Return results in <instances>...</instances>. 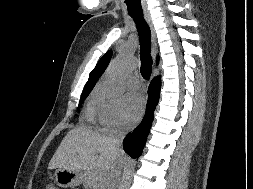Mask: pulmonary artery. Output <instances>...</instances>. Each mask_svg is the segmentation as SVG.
Wrapping results in <instances>:
<instances>
[{"mask_svg": "<svg viewBox=\"0 0 253 189\" xmlns=\"http://www.w3.org/2000/svg\"><path fill=\"white\" fill-rule=\"evenodd\" d=\"M129 83L134 89H137L140 86V81L137 77H131Z\"/></svg>", "mask_w": 253, "mask_h": 189, "instance_id": "1", "label": "pulmonary artery"}]
</instances>
